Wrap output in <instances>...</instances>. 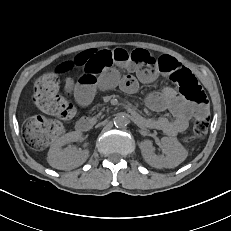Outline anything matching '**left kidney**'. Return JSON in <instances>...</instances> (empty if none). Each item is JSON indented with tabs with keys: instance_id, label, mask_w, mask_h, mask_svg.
I'll return each mask as SVG.
<instances>
[{
	"instance_id": "1",
	"label": "left kidney",
	"mask_w": 231,
	"mask_h": 231,
	"mask_svg": "<svg viewBox=\"0 0 231 231\" xmlns=\"http://www.w3.org/2000/svg\"><path fill=\"white\" fill-rule=\"evenodd\" d=\"M161 143L165 156H158L154 153L152 141L150 140H144L139 144L142 156L150 166L155 168H174L186 159L188 152L176 138L163 137Z\"/></svg>"
}]
</instances>
